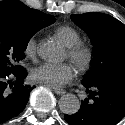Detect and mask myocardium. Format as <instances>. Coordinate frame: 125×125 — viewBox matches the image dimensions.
I'll list each match as a JSON object with an SVG mask.
<instances>
[{
	"instance_id": "1",
	"label": "myocardium",
	"mask_w": 125,
	"mask_h": 125,
	"mask_svg": "<svg viewBox=\"0 0 125 125\" xmlns=\"http://www.w3.org/2000/svg\"><path fill=\"white\" fill-rule=\"evenodd\" d=\"M67 55L80 70H85L92 60L91 49L80 42L68 47Z\"/></svg>"
}]
</instances>
